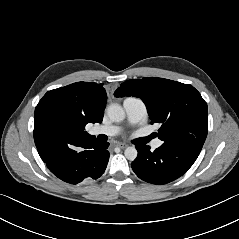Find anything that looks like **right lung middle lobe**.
Returning <instances> with one entry per match:
<instances>
[{"label":"right lung middle lobe","instance_id":"right-lung-middle-lobe-1","mask_svg":"<svg viewBox=\"0 0 239 239\" xmlns=\"http://www.w3.org/2000/svg\"><path fill=\"white\" fill-rule=\"evenodd\" d=\"M52 131H53L54 135L61 136L63 134V127L57 125V126L53 127Z\"/></svg>","mask_w":239,"mask_h":239}]
</instances>
